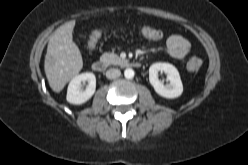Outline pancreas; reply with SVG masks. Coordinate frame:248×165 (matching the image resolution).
Instances as JSON below:
<instances>
[{
	"label": "pancreas",
	"instance_id": "1",
	"mask_svg": "<svg viewBox=\"0 0 248 165\" xmlns=\"http://www.w3.org/2000/svg\"><path fill=\"white\" fill-rule=\"evenodd\" d=\"M101 61L106 64L122 65L126 60L121 59L117 54L113 52H106L100 57Z\"/></svg>",
	"mask_w": 248,
	"mask_h": 165
}]
</instances>
